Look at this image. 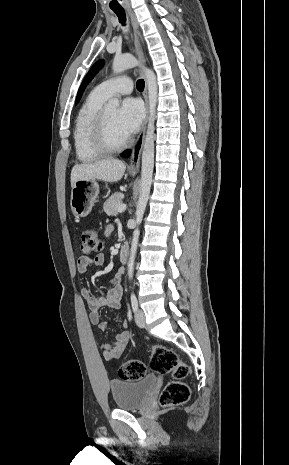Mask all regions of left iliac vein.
I'll return each mask as SVG.
<instances>
[{
	"label": "left iliac vein",
	"instance_id": "1",
	"mask_svg": "<svg viewBox=\"0 0 289 465\" xmlns=\"http://www.w3.org/2000/svg\"><path fill=\"white\" fill-rule=\"evenodd\" d=\"M135 322H136L138 327H140V328L145 327L146 321H145V314H144L143 310H141V309L136 310Z\"/></svg>",
	"mask_w": 289,
	"mask_h": 465
}]
</instances>
